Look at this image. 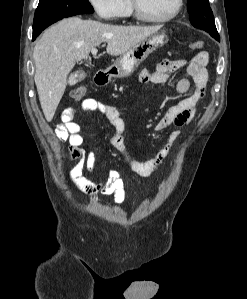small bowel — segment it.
I'll return each mask as SVG.
<instances>
[{
	"label": "small bowel",
	"mask_w": 247,
	"mask_h": 299,
	"mask_svg": "<svg viewBox=\"0 0 247 299\" xmlns=\"http://www.w3.org/2000/svg\"><path fill=\"white\" fill-rule=\"evenodd\" d=\"M208 60V53L200 52L189 64L185 60L165 59L158 64L155 71L151 72L147 69L141 71L139 78L142 83L162 84L168 81L171 73L186 66V76L179 79L176 88L178 92L184 94L191 88L189 78L192 79L194 84L192 94L176 106L168 109L164 116L156 123V131L160 132L171 125L182 127L191 121L197 105L205 95L207 84L206 66ZM80 110L86 112L99 111L106 116L113 129L110 144L122 155L129 170L141 177L150 176L153 172L163 168L166 159L179 137V133L177 130H173L169 135L168 143L158 151L155 157L146 161H137L127 151L123 137L125 123L116 107L93 98H87L82 102L80 108L68 107L63 111L61 122L56 126L55 135L59 141H67L69 143L68 159H77L70 173L71 181L88 195H112L116 204H122L126 198V191L124 182L118 172L109 171L105 179L97 182H93L84 176V171L89 173L94 172L95 157L92 152L86 151L83 147L84 140L81 135V128L75 121Z\"/></svg>",
	"instance_id": "c3829d8e"
}]
</instances>
